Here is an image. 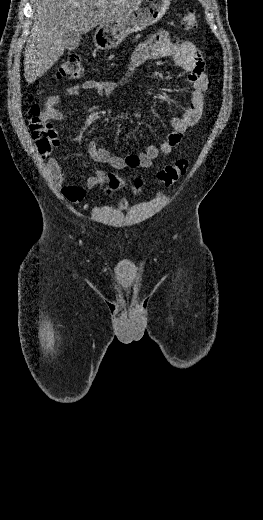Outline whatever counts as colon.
<instances>
[{"label": "colon", "mask_w": 263, "mask_h": 520, "mask_svg": "<svg viewBox=\"0 0 263 520\" xmlns=\"http://www.w3.org/2000/svg\"><path fill=\"white\" fill-rule=\"evenodd\" d=\"M198 17L193 9L184 12L181 18V25L184 30L191 31L197 27ZM83 74L81 59L77 54H71L59 67L55 77L57 79L68 78L77 79ZM29 127L36 146L44 158H48L53 150L59 145L57 132L52 124L45 117V109L38 105H33L28 113ZM189 169V162L186 159H178L174 163L164 166L157 172V181L170 186L183 177ZM107 191L121 190L130 187L133 191H139L144 182L140 178L126 181L123 177L108 173L103 181Z\"/></svg>", "instance_id": "1"}]
</instances>
